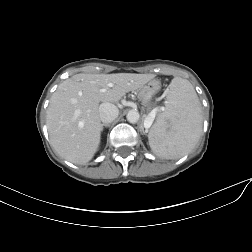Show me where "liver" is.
I'll return each instance as SVG.
<instances>
[{"mask_svg": "<svg viewBox=\"0 0 252 252\" xmlns=\"http://www.w3.org/2000/svg\"><path fill=\"white\" fill-rule=\"evenodd\" d=\"M150 74H76L53 93L46 125L54 150L74 164H86L101 139L99 104L117 103L127 92L143 87ZM111 84L105 92H101Z\"/></svg>", "mask_w": 252, "mask_h": 252, "instance_id": "6515ba94", "label": "liver"}]
</instances>
